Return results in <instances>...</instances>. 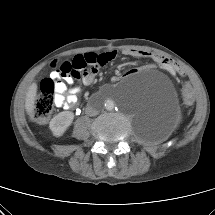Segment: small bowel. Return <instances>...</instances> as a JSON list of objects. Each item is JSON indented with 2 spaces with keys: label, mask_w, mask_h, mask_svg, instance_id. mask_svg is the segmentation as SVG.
Wrapping results in <instances>:
<instances>
[{
  "label": "small bowel",
  "mask_w": 215,
  "mask_h": 215,
  "mask_svg": "<svg viewBox=\"0 0 215 215\" xmlns=\"http://www.w3.org/2000/svg\"><path fill=\"white\" fill-rule=\"evenodd\" d=\"M123 54L134 58H151L163 68H169L171 64L169 59L147 51L126 49L123 51ZM76 57H79L84 64V68L81 70L78 78L70 75L60 76L56 71H52L51 73L52 77L57 78L55 87V104L57 107L73 109L79 102L80 93V88L74 85V80L80 79L84 85L92 84L99 69L113 61L117 57V52L114 50L102 53L87 52ZM118 80V76L112 77V81ZM67 85H70V87Z\"/></svg>",
  "instance_id": "small-bowel-1"
}]
</instances>
